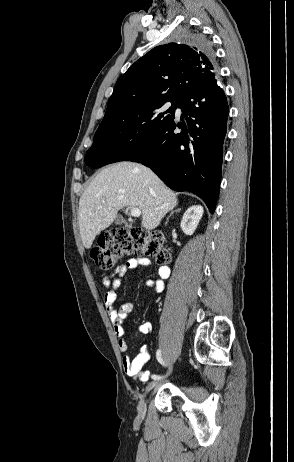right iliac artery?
Returning a JSON list of instances; mask_svg holds the SVG:
<instances>
[{
    "mask_svg": "<svg viewBox=\"0 0 294 462\" xmlns=\"http://www.w3.org/2000/svg\"><path fill=\"white\" fill-rule=\"evenodd\" d=\"M156 356H157L158 361H159L162 365H165V363H164V361H163V359H162V357H161V350H158V351H157ZM151 378H152L153 380H159V379H161L162 377L159 376V375H155V374H154V375L151 376Z\"/></svg>",
    "mask_w": 294,
    "mask_h": 462,
    "instance_id": "obj_1",
    "label": "right iliac artery"
}]
</instances>
